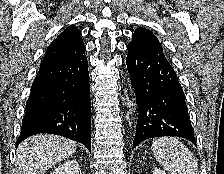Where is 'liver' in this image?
Here are the masks:
<instances>
[{"label": "liver", "instance_id": "liver-1", "mask_svg": "<svg viewBox=\"0 0 224 174\" xmlns=\"http://www.w3.org/2000/svg\"><path fill=\"white\" fill-rule=\"evenodd\" d=\"M77 144L53 134L31 136L18 146L15 174H45L57 162L72 155Z\"/></svg>", "mask_w": 224, "mask_h": 174}]
</instances>
